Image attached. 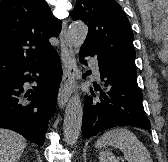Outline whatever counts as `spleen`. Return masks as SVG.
<instances>
[{"label":"spleen","mask_w":168,"mask_h":162,"mask_svg":"<svg viewBox=\"0 0 168 162\" xmlns=\"http://www.w3.org/2000/svg\"><path fill=\"white\" fill-rule=\"evenodd\" d=\"M112 146L119 148L127 162H153L148 150L131 131L125 128L112 129L105 132L95 143L96 148ZM100 162H117L109 151L99 153Z\"/></svg>","instance_id":"obj_1"}]
</instances>
